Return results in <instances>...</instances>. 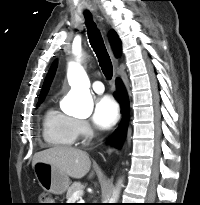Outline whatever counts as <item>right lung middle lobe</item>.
<instances>
[{"label":"right lung middle lobe","instance_id":"right-lung-middle-lobe-1","mask_svg":"<svg viewBox=\"0 0 200 205\" xmlns=\"http://www.w3.org/2000/svg\"><path fill=\"white\" fill-rule=\"evenodd\" d=\"M44 100V98L39 99V102H42Z\"/></svg>","mask_w":200,"mask_h":205}]
</instances>
